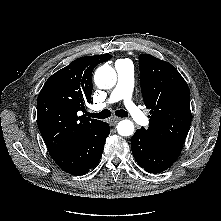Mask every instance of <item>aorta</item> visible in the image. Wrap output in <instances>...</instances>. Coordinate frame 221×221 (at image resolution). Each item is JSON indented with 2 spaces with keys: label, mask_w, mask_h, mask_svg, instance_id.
<instances>
[{
  "label": "aorta",
  "mask_w": 221,
  "mask_h": 221,
  "mask_svg": "<svg viewBox=\"0 0 221 221\" xmlns=\"http://www.w3.org/2000/svg\"><path fill=\"white\" fill-rule=\"evenodd\" d=\"M94 81L100 89H110L114 87L117 81V75L114 68L109 65L99 67L94 75ZM117 132L121 136H130L134 133V124L130 120H122L117 125Z\"/></svg>",
  "instance_id": "obj_1"
}]
</instances>
